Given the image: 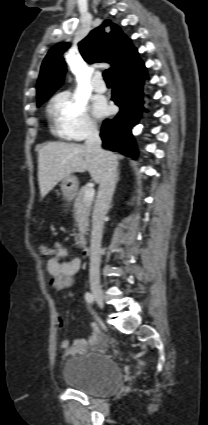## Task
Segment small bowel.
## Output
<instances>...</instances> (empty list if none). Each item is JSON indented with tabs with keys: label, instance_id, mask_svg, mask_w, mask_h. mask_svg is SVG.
<instances>
[{
	"label": "small bowel",
	"instance_id": "1",
	"mask_svg": "<svg viewBox=\"0 0 208 425\" xmlns=\"http://www.w3.org/2000/svg\"><path fill=\"white\" fill-rule=\"evenodd\" d=\"M68 256V250L61 244H55V252L48 260L46 268L49 273V284L52 290L61 291L72 287L77 279L80 269V260L75 258L70 261H64ZM59 326L63 325V319L57 318ZM99 344V327L95 323L90 325V333L87 338H79L73 341L67 339L60 342V348L66 356H72L92 349Z\"/></svg>",
	"mask_w": 208,
	"mask_h": 425
}]
</instances>
